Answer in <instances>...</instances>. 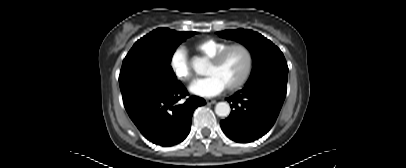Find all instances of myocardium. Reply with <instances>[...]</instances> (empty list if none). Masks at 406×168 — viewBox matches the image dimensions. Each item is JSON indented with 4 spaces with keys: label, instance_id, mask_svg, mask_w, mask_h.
<instances>
[{
    "label": "myocardium",
    "instance_id": "f54148a6",
    "mask_svg": "<svg viewBox=\"0 0 406 168\" xmlns=\"http://www.w3.org/2000/svg\"><path fill=\"white\" fill-rule=\"evenodd\" d=\"M234 48H241L244 51L246 55V66L241 78L233 85L226 87V90L229 92L240 89L249 79L254 63V55L252 49L245 43H233L229 44L228 46L220 50L217 54H215L212 58L209 59V64L213 66H218L222 62L224 57L227 55V53Z\"/></svg>",
    "mask_w": 406,
    "mask_h": 168
}]
</instances>
